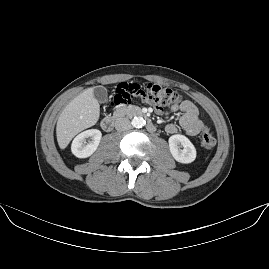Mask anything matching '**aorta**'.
<instances>
[{
  "label": "aorta",
  "mask_w": 269,
  "mask_h": 269,
  "mask_svg": "<svg viewBox=\"0 0 269 269\" xmlns=\"http://www.w3.org/2000/svg\"><path fill=\"white\" fill-rule=\"evenodd\" d=\"M144 124H145V120L139 116H135L131 120V125L136 128L142 127Z\"/></svg>",
  "instance_id": "1"
}]
</instances>
